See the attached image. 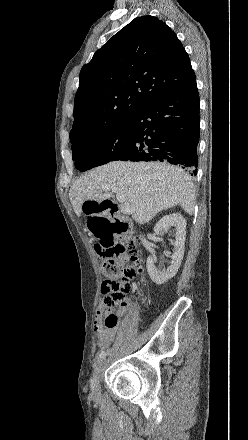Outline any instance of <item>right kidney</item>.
<instances>
[{"mask_svg": "<svg viewBox=\"0 0 248 440\" xmlns=\"http://www.w3.org/2000/svg\"><path fill=\"white\" fill-rule=\"evenodd\" d=\"M169 229H172V233L175 236V240L172 242L174 251L171 256L172 260L170 265L167 268L157 269L155 267L156 260L154 252L148 257L146 263L147 272L151 280L157 285L166 283L176 275L184 255L186 220L180 213L164 216L156 223L154 232L159 234Z\"/></svg>", "mask_w": 248, "mask_h": 440, "instance_id": "right-kidney-1", "label": "right kidney"}]
</instances>
